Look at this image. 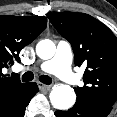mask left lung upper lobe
<instances>
[{
    "instance_id": "5c2ea615",
    "label": "left lung upper lobe",
    "mask_w": 117,
    "mask_h": 117,
    "mask_svg": "<svg viewBox=\"0 0 117 117\" xmlns=\"http://www.w3.org/2000/svg\"><path fill=\"white\" fill-rule=\"evenodd\" d=\"M47 17L67 39L76 66H86L84 86L74 88L77 99L113 105L117 99V38L112 31L85 13L57 12Z\"/></svg>"
}]
</instances>
